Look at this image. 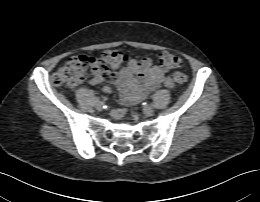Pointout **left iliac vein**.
Returning a JSON list of instances; mask_svg holds the SVG:
<instances>
[{
	"label": "left iliac vein",
	"mask_w": 260,
	"mask_h": 202,
	"mask_svg": "<svg viewBox=\"0 0 260 202\" xmlns=\"http://www.w3.org/2000/svg\"><path fill=\"white\" fill-rule=\"evenodd\" d=\"M143 113L146 115V116H152L153 113H154V109L152 107V105H146L143 107Z\"/></svg>",
	"instance_id": "left-iliac-vein-1"
}]
</instances>
